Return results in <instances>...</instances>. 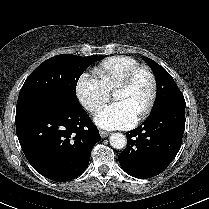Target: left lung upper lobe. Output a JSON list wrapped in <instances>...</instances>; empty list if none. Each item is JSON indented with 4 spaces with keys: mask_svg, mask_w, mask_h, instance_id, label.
I'll return each mask as SVG.
<instances>
[{
    "mask_svg": "<svg viewBox=\"0 0 209 209\" xmlns=\"http://www.w3.org/2000/svg\"><path fill=\"white\" fill-rule=\"evenodd\" d=\"M144 59L154 71L157 81V97L152 111L166 104L185 102L184 96L172 76L152 59L148 57Z\"/></svg>",
    "mask_w": 209,
    "mask_h": 209,
    "instance_id": "5c2ea615",
    "label": "left lung upper lobe"
}]
</instances>
